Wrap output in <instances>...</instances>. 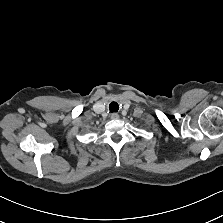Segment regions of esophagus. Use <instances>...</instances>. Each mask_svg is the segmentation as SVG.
I'll return each instance as SVG.
<instances>
[{
  "label": "esophagus",
  "mask_w": 223,
  "mask_h": 223,
  "mask_svg": "<svg viewBox=\"0 0 223 223\" xmlns=\"http://www.w3.org/2000/svg\"><path fill=\"white\" fill-rule=\"evenodd\" d=\"M119 118V115L117 113H112L111 114V119L116 120Z\"/></svg>",
  "instance_id": "obj_1"
}]
</instances>
